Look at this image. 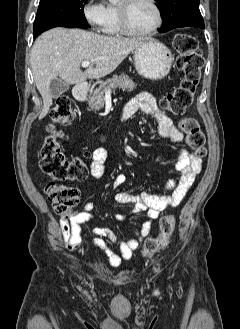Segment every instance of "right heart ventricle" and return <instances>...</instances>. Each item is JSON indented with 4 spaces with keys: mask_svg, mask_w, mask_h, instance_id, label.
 Masks as SVG:
<instances>
[{
    "mask_svg": "<svg viewBox=\"0 0 240 329\" xmlns=\"http://www.w3.org/2000/svg\"><path fill=\"white\" fill-rule=\"evenodd\" d=\"M102 30L108 36H118L123 34L120 28L117 5L109 4L106 7V20L102 27Z\"/></svg>",
    "mask_w": 240,
    "mask_h": 329,
    "instance_id": "1",
    "label": "right heart ventricle"
}]
</instances>
